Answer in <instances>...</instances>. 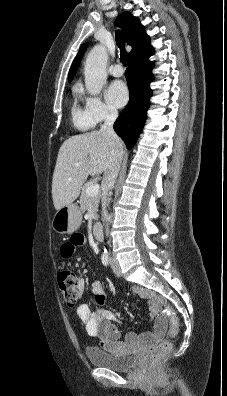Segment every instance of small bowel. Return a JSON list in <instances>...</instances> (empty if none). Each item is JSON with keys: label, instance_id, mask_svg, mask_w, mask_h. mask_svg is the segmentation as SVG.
Returning a JSON list of instances; mask_svg holds the SVG:
<instances>
[{"label": "small bowel", "instance_id": "c3829d8e", "mask_svg": "<svg viewBox=\"0 0 227 396\" xmlns=\"http://www.w3.org/2000/svg\"><path fill=\"white\" fill-rule=\"evenodd\" d=\"M84 244V236L74 234L69 242L62 245L61 253L63 257L68 258ZM77 283L79 295H82L85 291V280L80 278ZM92 292L95 295L96 302L103 305L106 293L102 283L99 281L93 282ZM132 292L149 302V312L153 318V331L139 335L134 332L127 333L124 341H121V332L115 324L117 318L112 311L98 309L92 312L87 304H80L76 309V314L85 324L87 333L90 336L97 337L100 346L107 351L116 350L124 344H141L153 347L164 337L167 331V323L160 315L159 299L155 293L138 285L132 287Z\"/></svg>", "mask_w": 227, "mask_h": 396}]
</instances>
